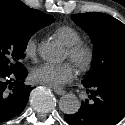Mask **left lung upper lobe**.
Wrapping results in <instances>:
<instances>
[{
    "mask_svg": "<svg viewBox=\"0 0 125 125\" xmlns=\"http://www.w3.org/2000/svg\"><path fill=\"white\" fill-rule=\"evenodd\" d=\"M71 18L90 36L95 47L94 66L83 83L125 76V25L108 14L97 12L73 14Z\"/></svg>",
    "mask_w": 125,
    "mask_h": 125,
    "instance_id": "1",
    "label": "left lung upper lobe"
}]
</instances>
